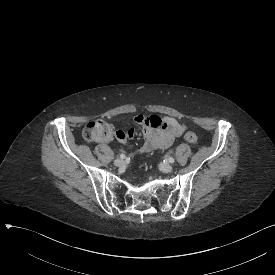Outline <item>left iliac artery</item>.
Returning a JSON list of instances; mask_svg holds the SVG:
<instances>
[{
    "instance_id": "44dca946",
    "label": "left iliac artery",
    "mask_w": 275,
    "mask_h": 275,
    "mask_svg": "<svg viewBox=\"0 0 275 275\" xmlns=\"http://www.w3.org/2000/svg\"><path fill=\"white\" fill-rule=\"evenodd\" d=\"M168 161H169L170 163H174V162H175V159L172 158V157H170V158L168 159Z\"/></svg>"
}]
</instances>
